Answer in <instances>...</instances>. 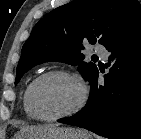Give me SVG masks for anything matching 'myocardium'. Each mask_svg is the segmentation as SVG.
I'll return each mask as SVG.
<instances>
[{
  "instance_id": "myocardium-1",
  "label": "myocardium",
  "mask_w": 141,
  "mask_h": 139,
  "mask_svg": "<svg viewBox=\"0 0 141 139\" xmlns=\"http://www.w3.org/2000/svg\"><path fill=\"white\" fill-rule=\"evenodd\" d=\"M51 76H64L73 79L74 81L77 82L80 88V97L78 102L69 110L53 115V116H46L41 114L34 101V91L36 86L45 78L51 77ZM88 87L84 79L77 73L70 71V70H65V69H54V70H49L47 72H44L37 76L29 85L28 92H27V103L28 107L31 111V113L34 115V117L38 120L42 121H56L60 120L63 118H67L70 116L75 115L78 113L87 103L88 100Z\"/></svg>"
}]
</instances>
